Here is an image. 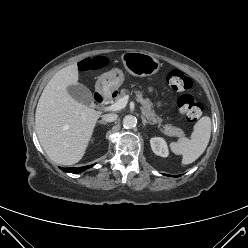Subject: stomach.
Here are the masks:
<instances>
[{"mask_svg": "<svg viewBox=\"0 0 248 248\" xmlns=\"http://www.w3.org/2000/svg\"><path fill=\"white\" fill-rule=\"evenodd\" d=\"M121 60L126 71L137 77L151 76L160 69V62L155 57L141 52H125L122 54ZM124 80L123 71L114 68L98 78L96 90L103 95H111L123 84Z\"/></svg>", "mask_w": 248, "mask_h": 248, "instance_id": "stomach-1", "label": "stomach"}]
</instances>
